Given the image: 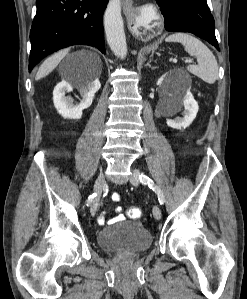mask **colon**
<instances>
[{
	"mask_svg": "<svg viewBox=\"0 0 247 299\" xmlns=\"http://www.w3.org/2000/svg\"><path fill=\"white\" fill-rule=\"evenodd\" d=\"M127 215L132 219H137L141 217L142 213L139 208L132 207L127 210Z\"/></svg>",
	"mask_w": 247,
	"mask_h": 299,
	"instance_id": "obj_1",
	"label": "colon"
}]
</instances>
